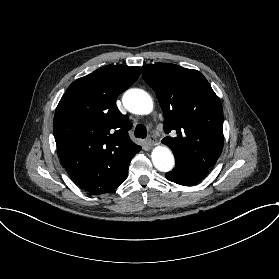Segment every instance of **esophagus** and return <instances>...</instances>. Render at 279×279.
<instances>
[{
    "instance_id": "obj_1",
    "label": "esophagus",
    "mask_w": 279,
    "mask_h": 279,
    "mask_svg": "<svg viewBox=\"0 0 279 279\" xmlns=\"http://www.w3.org/2000/svg\"><path fill=\"white\" fill-rule=\"evenodd\" d=\"M146 141L150 146H154L157 144L156 138L152 135H149L148 138L146 139Z\"/></svg>"
}]
</instances>
